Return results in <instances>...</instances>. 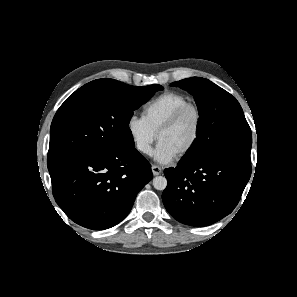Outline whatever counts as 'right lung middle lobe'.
I'll use <instances>...</instances> for the list:
<instances>
[{
  "label": "right lung middle lobe",
  "instance_id": "dd1d6c3e",
  "mask_svg": "<svg viewBox=\"0 0 297 297\" xmlns=\"http://www.w3.org/2000/svg\"><path fill=\"white\" fill-rule=\"evenodd\" d=\"M162 89L158 84L137 87L103 79L95 88L75 91L53 118L48 169L74 154L134 147L128 126L133 111Z\"/></svg>",
  "mask_w": 297,
  "mask_h": 297
}]
</instances>
